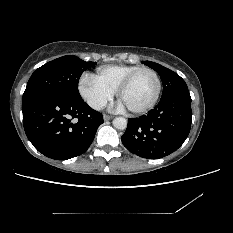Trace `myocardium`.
<instances>
[{
	"label": "myocardium",
	"mask_w": 233,
	"mask_h": 233,
	"mask_svg": "<svg viewBox=\"0 0 233 233\" xmlns=\"http://www.w3.org/2000/svg\"><path fill=\"white\" fill-rule=\"evenodd\" d=\"M145 72H149V73H152L155 77V80H156V92H155V95L154 97L152 98V100L147 104L145 105L144 107H141V108H127V110L133 114H142V113H145L149 110H151L155 104L157 103L159 97H160V94H161V89H162V83H161V79H160V76L158 74V72L152 68H141L135 72H133L132 74H130L122 83L121 85L118 87L117 91H116V95H117V98L120 100V97L122 95V93L127 89L129 88L132 83L135 81V79L141 75L142 73H145Z\"/></svg>",
	"instance_id": "myocardium-1"
}]
</instances>
